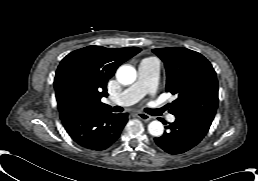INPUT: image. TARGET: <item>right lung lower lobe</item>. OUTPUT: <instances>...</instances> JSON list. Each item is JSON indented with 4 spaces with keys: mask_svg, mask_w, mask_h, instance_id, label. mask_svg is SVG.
I'll use <instances>...</instances> for the list:
<instances>
[{
    "mask_svg": "<svg viewBox=\"0 0 258 181\" xmlns=\"http://www.w3.org/2000/svg\"><path fill=\"white\" fill-rule=\"evenodd\" d=\"M61 120L77 144L101 151L119 137L128 114H113L111 109H78L61 116Z\"/></svg>",
    "mask_w": 258,
    "mask_h": 181,
    "instance_id": "right-lung-lower-lobe-1",
    "label": "right lung lower lobe"
}]
</instances>
